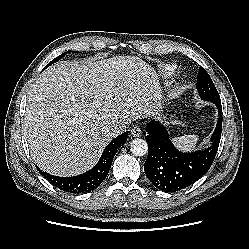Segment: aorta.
Wrapping results in <instances>:
<instances>
[{
  "instance_id": "obj_1",
  "label": "aorta",
  "mask_w": 249,
  "mask_h": 249,
  "mask_svg": "<svg viewBox=\"0 0 249 249\" xmlns=\"http://www.w3.org/2000/svg\"><path fill=\"white\" fill-rule=\"evenodd\" d=\"M130 151L136 156H144L148 152V144L144 139H133L130 143Z\"/></svg>"
}]
</instances>
